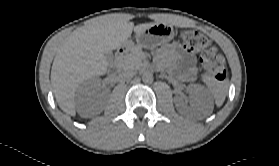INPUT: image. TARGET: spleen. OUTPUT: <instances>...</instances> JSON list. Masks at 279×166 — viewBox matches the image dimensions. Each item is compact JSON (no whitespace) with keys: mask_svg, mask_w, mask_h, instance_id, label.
<instances>
[{"mask_svg":"<svg viewBox=\"0 0 279 166\" xmlns=\"http://www.w3.org/2000/svg\"><path fill=\"white\" fill-rule=\"evenodd\" d=\"M202 79L207 84L209 92L215 100V104L218 107L221 106L225 101L226 95L228 93V81L224 80L222 82H219L211 78L209 75H203Z\"/></svg>","mask_w":279,"mask_h":166,"instance_id":"1","label":"spleen"}]
</instances>
